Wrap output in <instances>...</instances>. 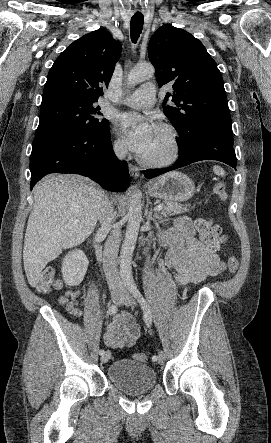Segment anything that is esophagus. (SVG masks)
Returning <instances> with one entry per match:
<instances>
[{
    "instance_id": "esophagus-1",
    "label": "esophagus",
    "mask_w": 271,
    "mask_h": 443,
    "mask_svg": "<svg viewBox=\"0 0 271 443\" xmlns=\"http://www.w3.org/2000/svg\"><path fill=\"white\" fill-rule=\"evenodd\" d=\"M129 172L131 177L134 179L138 178L140 175V169L137 166L132 165L131 163L129 164Z\"/></svg>"
}]
</instances>
